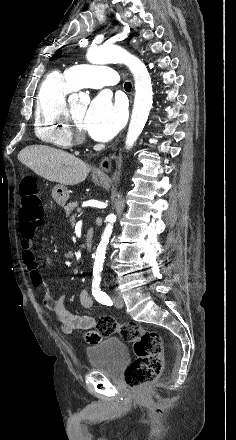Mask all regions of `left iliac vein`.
Here are the masks:
<instances>
[{
  "instance_id": "obj_1",
  "label": "left iliac vein",
  "mask_w": 236,
  "mask_h": 440,
  "mask_svg": "<svg viewBox=\"0 0 236 440\" xmlns=\"http://www.w3.org/2000/svg\"><path fill=\"white\" fill-rule=\"evenodd\" d=\"M113 303L115 307L122 308L124 306V302L121 296L116 295L113 297Z\"/></svg>"
}]
</instances>
